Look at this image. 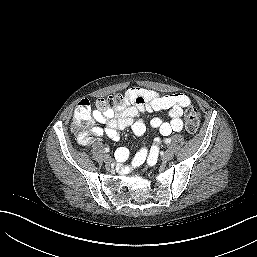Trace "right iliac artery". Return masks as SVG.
I'll list each match as a JSON object with an SVG mask.
<instances>
[{
  "instance_id": "1",
  "label": "right iliac artery",
  "mask_w": 257,
  "mask_h": 257,
  "mask_svg": "<svg viewBox=\"0 0 257 257\" xmlns=\"http://www.w3.org/2000/svg\"><path fill=\"white\" fill-rule=\"evenodd\" d=\"M109 151H110L109 147H106L105 152H109Z\"/></svg>"
}]
</instances>
